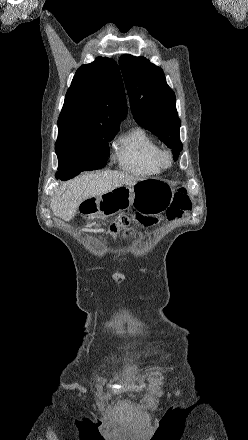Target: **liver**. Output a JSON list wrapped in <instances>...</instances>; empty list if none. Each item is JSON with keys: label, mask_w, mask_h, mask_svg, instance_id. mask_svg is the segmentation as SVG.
I'll return each instance as SVG.
<instances>
[{"label": "liver", "mask_w": 248, "mask_h": 440, "mask_svg": "<svg viewBox=\"0 0 248 440\" xmlns=\"http://www.w3.org/2000/svg\"><path fill=\"white\" fill-rule=\"evenodd\" d=\"M139 178L118 171H103L81 175L64 184V193L51 199L55 216L64 220L75 217L79 205L92 197L108 193L120 186H133Z\"/></svg>", "instance_id": "6515ba94"}]
</instances>
